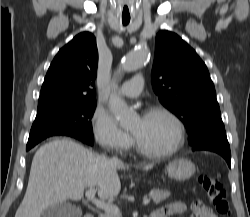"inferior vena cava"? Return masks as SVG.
I'll use <instances>...</instances> for the list:
<instances>
[{
  "mask_svg": "<svg viewBox=\"0 0 250 217\" xmlns=\"http://www.w3.org/2000/svg\"><path fill=\"white\" fill-rule=\"evenodd\" d=\"M112 162H114V163H119L120 161H119V159H118L117 157H113V158H112Z\"/></svg>",
  "mask_w": 250,
  "mask_h": 217,
  "instance_id": "obj_1",
  "label": "inferior vena cava"
}]
</instances>
